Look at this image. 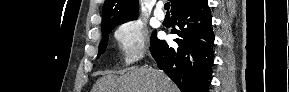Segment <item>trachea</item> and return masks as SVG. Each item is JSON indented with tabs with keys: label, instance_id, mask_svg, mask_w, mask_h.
<instances>
[{
	"label": "trachea",
	"instance_id": "3493384b",
	"mask_svg": "<svg viewBox=\"0 0 289 92\" xmlns=\"http://www.w3.org/2000/svg\"><path fill=\"white\" fill-rule=\"evenodd\" d=\"M164 9L167 11L170 9V3L169 2L165 3Z\"/></svg>",
	"mask_w": 289,
	"mask_h": 92
}]
</instances>
